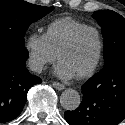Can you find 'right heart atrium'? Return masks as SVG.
<instances>
[{"instance_id":"1","label":"right heart atrium","mask_w":125,"mask_h":125,"mask_svg":"<svg viewBox=\"0 0 125 125\" xmlns=\"http://www.w3.org/2000/svg\"><path fill=\"white\" fill-rule=\"evenodd\" d=\"M24 48L27 53L29 67L40 73L46 65L56 59V53L51 50L44 34L31 33L24 42Z\"/></svg>"}]
</instances>
